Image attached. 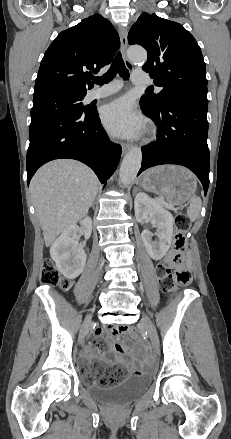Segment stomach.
Instances as JSON below:
<instances>
[{"mask_svg":"<svg viewBox=\"0 0 231 439\" xmlns=\"http://www.w3.org/2000/svg\"><path fill=\"white\" fill-rule=\"evenodd\" d=\"M141 185L161 195L168 204L180 206L195 193L197 180L184 167L164 165L146 171L141 177Z\"/></svg>","mask_w":231,"mask_h":439,"instance_id":"stomach-1","label":"stomach"}]
</instances>
